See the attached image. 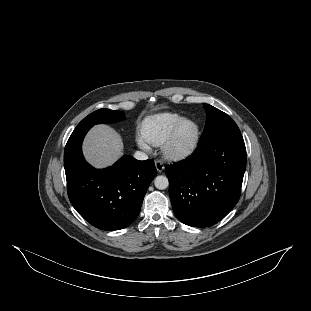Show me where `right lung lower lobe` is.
<instances>
[{
  "label": "right lung lower lobe",
  "instance_id": "1",
  "mask_svg": "<svg viewBox=\"0 0 311 311\" xmlns=\"http://www.w3.org/2000/svg\"><path fill=\"white\" fill-rule=\"evenodd\" d=\"M91 127L75 128L64 151L67 192L75 210L102 230H119L138 216L146 191L157 174L153 159L123 156L113 166L95 169L81 145Z\"/></svg>",
  "mask_w": 311,
  "mask_h": 311
}]
</instances>
